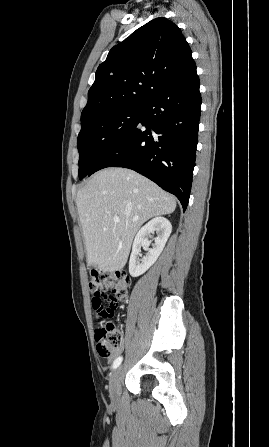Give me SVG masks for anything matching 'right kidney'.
Masks as SVG:
<instances>
[{"label": "right kidney", "mask_w": 269, "mask_h": 447, "mask_svg": "<svg viewBox=\"0 0 269 447\" xmlns=\"http://www.w3.org/2000/svg\"><path fill=\"white\" fill-rule=\"evenodd\" d=\"M172 231V225L166 218H153L148 224L143 225L135 235V239L132 245V253L129 259V273L132 277H138L141 273H145L149 269L150 265L155 263L158 259L161 251L165 247V243ZM156 233L154 237L155 243L153 247L149 249L146 255H143L142 259H139V251L143 245H149L151 241L148 239V235Z\"/></svg>", "instance_id": "1"}]
</instances>
